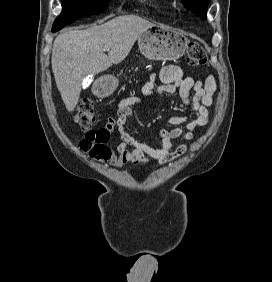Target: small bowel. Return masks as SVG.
I'll use <instances>...</instances> for the list:
<instances>
[{
    "label": "small bowel",
    "mask_w": 272,
    "mask_h": 282,
    "mask_svg": "<svg viewBox=\"0 0 272 282\" xmlns=\"http://www.w3.org/2000/svg\"><path fill=\"white\" fill-rule=\"evenodd\" d=\"M159 77L163 84L157 88L158 94L174 93L178 90L182 102L190 107V117L180 115L168 119V123L175 126L186 123L187 131L183 132L179 127L170 131L160 130L159 138L162 144L160 148H153L136 140L126 132L125 124L133 113L131 105L140 103V100L138 98L125 99L119 104L116 116L110 118L106 125L109 130L115 129L118 135L115 153L109 162L111 166L120 168L127 164L137 165L151 161H157L159 164L169 163L184 155L187 151V146L184 144L180 145L175 151H171L173 140L177 138L189 140L193 138L199 127L208 123V107L213 102V93L216 89V81L213 75L208 76L202 82L193 77L184 76L180 67L169 65L160 71ZM154 79V76L151 77L143 86V94L147 97H151L153 94Z\"/></svg>",
    "instance_id": "1"
}]
</instances>
